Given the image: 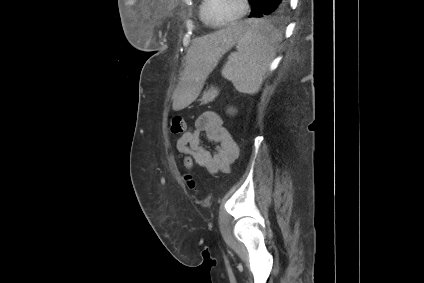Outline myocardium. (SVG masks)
Listing matches in <instances>:
<instances>
[{
  "mask_svg": "<svg viewBox=\"0 0 424 283\" xmlns=\"http://www.w3.org/2000/svg\"><path fill=\"white\" fill-rule=\"evenodd\" d=\"M209 3H210V0H204L203 20L207 25H209L211 27H222V26L234 23V22L242 19L248 13V11L250 9V1L249 0H241L242 8H241V11L236 16H234V17H232L228 20H225L223 22H220V23H211L208 20V16H207Z\"/></svg>",
  "mask_w": 424,
  "mask_h": 283,
  "instance_id": "obj_1",
  "label": "myocardium"
}]
</instances>
